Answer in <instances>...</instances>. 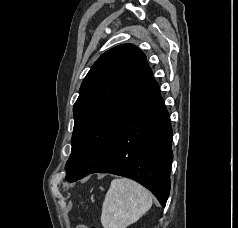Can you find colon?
<instances>
[{
  "mask_svg": "<svg viewBox=\"0 0 238 228\" xmlns=\"http://www.w3.org/2000/svg\"><path fill=\"white\" fill-rule=\"evenodd\" d=\"M79 228H98V227H95V226L87 227V226L82 225V226H80Z\"/></svg>",
  "mask_w": 238,
  "mask_h": 228,
  "instance_id": "5ec220e1",
  "label": "colon"
}]
</instances>
